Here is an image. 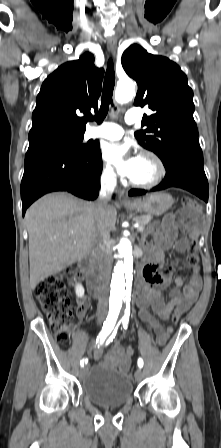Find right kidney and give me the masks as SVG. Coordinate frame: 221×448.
I'll return each instance as SVG.
<instances>
[{
  "mask_svg": "<svg viewBox=\"0 0 221 448\" xmlns=\"http://www.w3.org/2000/svg\"><path fill=\"white\" fill-rule=\"evenodd\" d=\"M75 291H76V295L78 297L81 298V297L84 296V288H83V286L81 284H77L76 285Z\"/></svg>",
  "mask_w": 221,
  "mask_h": 448,
  "instance_id": "obj_1",
  "label": "right kidney"
}]
</instances>
